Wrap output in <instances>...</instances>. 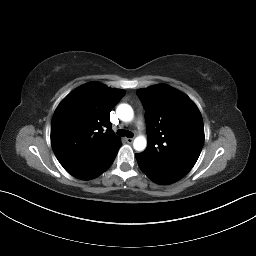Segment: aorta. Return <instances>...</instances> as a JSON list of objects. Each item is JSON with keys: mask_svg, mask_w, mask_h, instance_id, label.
I'll return each mask as SVG.
<instances>
[{"mask_svg": "<svg viewBox=\"0 0 256 256\" xmlns=\"http://www.w3.org/2000/svg\"><path fill=\"white\" fill-rule=\"evenodd\" d=\"M117 115L120 120L130 122L134 117L133 109L128 104H120L117 107ZM147 140L144 136H138L134 139L133 147L136 151H143L146 148Z\"/></svg>", "mask_w": 256, "mask_h": 256, "instance_id": "obj_1", "label": "aorta"}]
</instances>
